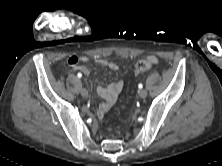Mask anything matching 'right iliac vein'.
Listing matches in <instances>:
<instances>
[{
	"label": "right iliac vein",
	"instance_id": "right-iliac-vein-1",
	"mask_svg": "<svg viewBox=\"0 0 222 166\" xmlns=\"http://www.w3.org/2000/svg\"><path fill=\"white\" fill-rule=\"evenodd\" d=\"M81 95H82V97L86 98V97L88 96V91H87V89L82 88V89H81Z\"/></svg>",
	"mask_w": 222,
	"mask_h": 166
}]
</instances>
